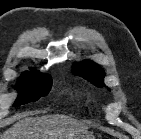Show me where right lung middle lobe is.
Returning a JSON list of instances; mask_svg holds the SVG:
<instances>
[{
    "label": "right lung middle lobe",
    "instance_id": "dd1d6c3e",
    "mask_svg": "<svg viewBox=\"0 0 141 139\" xmlns=\"http://www.w3.org/2000/svg\"><path fill=\"white\" fill-rule=\"evenodd\" d=\"M52 80L47 74L26 72L17 82L19 95L14 105L20 106L35 102L40 97L46 96L51 88Z\"/></svg>",
    "mask_w": 141,
    "mask_h": 139
}]
</instances>
